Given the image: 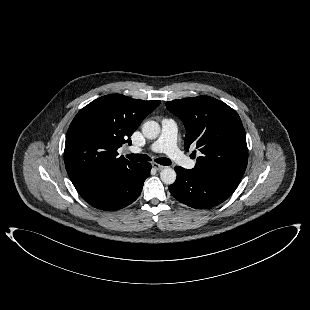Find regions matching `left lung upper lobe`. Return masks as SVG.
<instances>
[{"instance_id": "left-lung-upper-lobe-1", "label": "left lung upper lobe", "mask_w": 310, "mask_h": 310, "mask_svg": "<svg viewBox=\"0 0 310 310\" xmlns=\"http://www.w3.org/2000/svg\"><path fill=\"white\" fill-rule=\"evenodd\" d=\"M166 107L185 125V149L193 144L202 153L192 170L238 184L246 170L248 148L237 112L208 96L169 101Z\"/></svg>"}]
</instances>
